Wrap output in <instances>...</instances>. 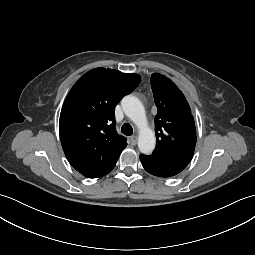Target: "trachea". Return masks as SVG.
<instances>
[{
    "label": "trachea",
    "instance_id": "3493384b",
    "mask_svg": "<svg viewBox=\"0 0 255 255\" xmlns=\"http://www.w3.org/2000/svg\"><path fill=\"white\" fill-rule=\"evenodd\" d=\"M121 132L124 134V135H127V136H130L133 134V128L130 124L128 123H125L123 124V126L121 127Z\"/></svg>",
    "mask_w": 255,
    "mask_h": 255
}]
</instances>
